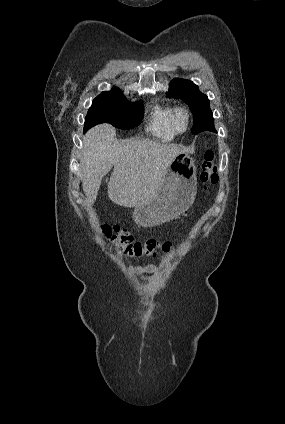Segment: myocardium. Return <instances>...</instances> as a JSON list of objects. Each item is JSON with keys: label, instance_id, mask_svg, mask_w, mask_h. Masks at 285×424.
I'll use <instances>...</instances> for the list:
<instances>
[{"label": "myocardium", "instance_id": "1", "mask_svg": "<svg viewBox=\"0 0 285 424\" xmlns=\"http://www.w3.org/2000/svg\"><path fill=\"white\" fill-rule=\"evenodd\" d=\"M179 115H184L185 119H186V125L183 129L179 128L178 124H177V117ZM171 124L173 129L175 130V132L177 133H184L188 130L189 126H190V112L187 108L185 107H176L174 108L173 112H172V116H171Z\"/></svg>", "mask_w": 285, "mask_h": 424}]
</instances>
